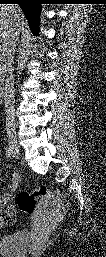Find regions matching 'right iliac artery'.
Returning <instances> with one entry per match:
<instances>
[{"label": "right iliac artery", "instance_id": "82829eb1", "mask_svg": "<svg viewBox=\"0 0 106 257\" xmlns=\"http://www.w3.org/2000/svg\"><path fill=\"white\" fill-rule=\"evenodd\" d=\"M12 155V150L10 148V146L6 147V157L10 158Z\"/></svg>", "mask_w": 106, "mask_h": 257}]
</instances>
